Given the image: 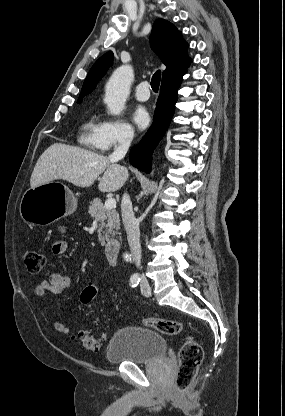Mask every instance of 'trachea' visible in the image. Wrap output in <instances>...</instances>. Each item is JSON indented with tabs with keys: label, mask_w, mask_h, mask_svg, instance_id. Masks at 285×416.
<instances>
[{
	"label": "trachea",
	"mask_w": 285,
	"mask_h": 416,
	"mask_svg": "<svg viewBox=\"0 0 285 416\" xmlns=\"http://www.w3.org/2000/svg\"><path fill=\"white\" fill-rule=\"evenodd\" d=\"M160 80H161V71L158 70L152 76L151 83H150L153 91L157 92L159 90Z\"/></svg>",
	"instance_id": "trachea-1"
}]
</instances>
